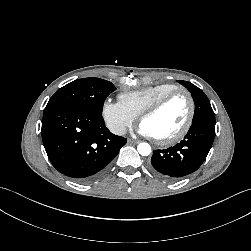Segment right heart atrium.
Listing matches in <instances>:
<instances>
[{
  "instance_id": "right-heart-atrium-1",
  "label": "right heart atrium",
  "mask_w": 251,
  "mask_h": 251,
  "mask_svg": "<svg viewBox=\"0 0 251 251\" xmlns=\"http://www.w3.org/2000/svg\"><path fill=\"white\" fill-rule=\"evenodd\" d=\"M101 113L107 127L116 135H124L135 121V117L119 101L106 100Z\"/></svg>"
}]
</instances>
